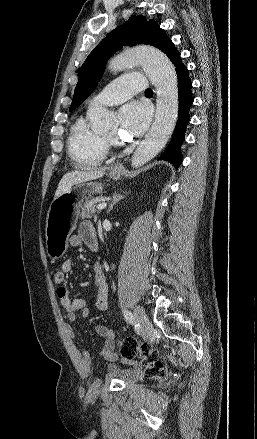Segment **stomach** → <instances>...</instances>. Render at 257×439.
I'll return each mask as SVG.
<instances>
[{
	"instance_id": "obj_1",
	"label": "stomach",
	"mask_w": 257,
	"mask_h": 439,
	"mask_svg": "<svg viewBox=\"0 0 257 439\" xmlns=\"http://www.w3.org/2000/svg\"><path fill=\"white\" fill-rule=\"evenodd\" d=\"M117 180L119 172H110ZM102 191V184L96 182L80 183L54 199L46 218V249L51 259L62 257L68 249V237L76 227L84 198Z\"/></svg>"
}]
</instances>
